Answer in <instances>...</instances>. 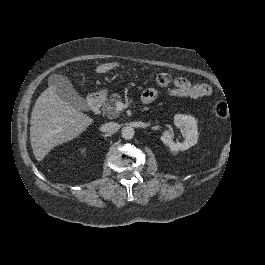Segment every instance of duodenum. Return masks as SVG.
I'll list each match as a JSON object with an SVG mask.
<instances>
[{
	"instance_id": "duodenum-1",
	"label": "duodenum",
	"mask_w": 265,
	"mask_h": 265,
	"mask_svg": "<svg viewBox=\"0 0 265 265\" xmlns=\"http://www.w3.org/2000/svg\"><path fill=\"white\" fill-rule=\"evenodd\" d=\"M103 101V97L101 94L93 93L88 96L87 104L91 111H98Z\"/></svg>"
}]
</instances>
